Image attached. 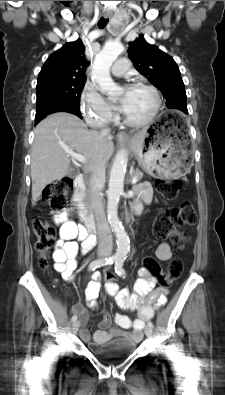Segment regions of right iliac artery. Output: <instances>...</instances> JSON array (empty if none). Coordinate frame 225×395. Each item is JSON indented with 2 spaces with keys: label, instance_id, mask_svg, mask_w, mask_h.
Segmentation results:
<instances>
[{
  "label": "right iliac artery",
  "instance_id": "right-iliac-artery-1",
  "mask_svg": "<svg viewBox=\"0 0 225 395\" xmlns=\"http://www.w3.org/2000/svg\"><path fill=\"white\" fill-rule=\"evenodd\" d=\"M117 259H118L117 256H112L104 260H94L89 264L88 268L90 271H94L101 266L113 264ZM71 320L72 322H75L77 320V315H73Z\"/></svg>",
  "mask_w": 225,
  "mask_h": 395
}]
</instances>
